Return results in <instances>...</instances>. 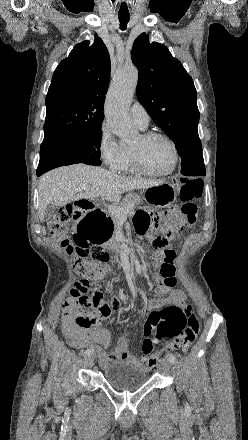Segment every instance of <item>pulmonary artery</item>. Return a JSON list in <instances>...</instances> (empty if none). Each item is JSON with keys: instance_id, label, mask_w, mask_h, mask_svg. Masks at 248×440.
<instances>
[{"instance_id": "pulmonary-artery-1", "label": "pulmonary artery", "mask_w": 248, "mask_h": 440, "mask_svg": "<svg viewBox=\"0 0 248 440\" xmlns=\"http://www.w3.org/2000/svg\"><path fill=\"white\" fill-rule=\"evenodd\" d=\"M130 112L134 123L139 128H146L148 126L150 119L149 114L139 102L133 103Z\"/></svg>"}]
</instances>
